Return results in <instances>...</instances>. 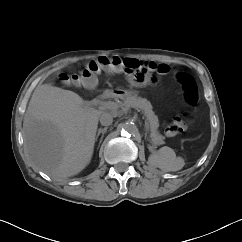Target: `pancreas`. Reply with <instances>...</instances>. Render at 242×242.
Returning a JSON list of instances; mask_svg holds the SVG:
<instances>
[{
	"label": "pancreas",
	"mask_w": 242,
	"mask_h": 242,
	"mask_svg": "<svg viewBox=\"0 0 242 242\" xmlns=\"http://www.w3.org/2000/svg\"><path fill=\"white\" fill-rule=\"evenodd\" d=\"M120 105L142 110L146 117L148 128L150 129V136L152 141L154 143H161L163 141L164 137L158 132V117L153 112L152 105L147 99L137 96H130L125 98L124 102Z\"/></svg>",
	"instance_id": "1"
}]
</instances>
